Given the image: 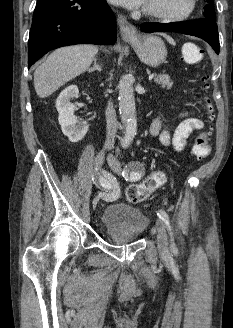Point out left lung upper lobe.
Wrapping results in <instances>:
<instances>
[{"mask_svg": "<svg viewBox=\"0 0 233 328\" xmlns=\"http://www.w3.org/2000/svg\"><path fill=\"white\" fill-rule=\"evenodd\" d=\"M207 4L204 6V19L208 21L215 22V11H214V5L213 0H206Z\"/></svg>", "mask_w": 233, "mask_h": 328, "instance_id": "obj_1", "label": "left lung upper lobe"}]
</instances>
